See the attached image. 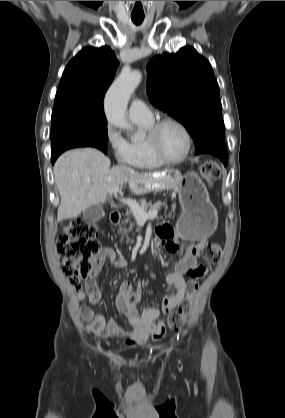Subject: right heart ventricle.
<instances>
[{
  "label": "right heart ventricle",
  "instance_id": "obj_1",
  "mask_svg": "<svg viewBox=\"0 0 285 418\" xmlns=\"http://www.w3.org/2000/svg\"><path fill=\"white\" fill-rule=\"evenodd\" d=\"M137 126L142 131H147L151 125L152 121L150 122H141V121H134ZM130 156H131V164L133 166L145 169H154L161 167L163 165L162 162L158 161L153 157L151 154L149 147L146 142V138L140 140L131 139L127 142Z\"/></svg>",
  "mask_w": 285,
  "mask_h": 418
}]
</instances>
